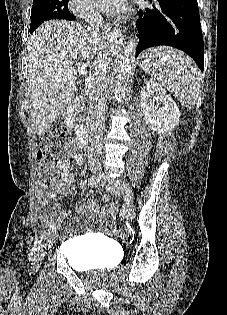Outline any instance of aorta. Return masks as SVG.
Listing matches in <instances>:
<instances>
[{
    "mask_svg": "<svg viewBox=\"0 0 227 315\" xmlns=\"http://www.w3.org/2000/svg\"><path fill=\"white\" fill-rule=\"evenodd\" d=\"M108 41L113 51L121 52L114 80V92L117 100L120 101L133 75L137 37L136 34L135 36L132 34L128 42L124 45L121 35L116 31H111L108 34Z\"/></svg>",
    "mask_w": 227,
    "mask_h": 315,
    "instance_id": "762f6f07",
    "label": "aorta"
}]
</instances>
